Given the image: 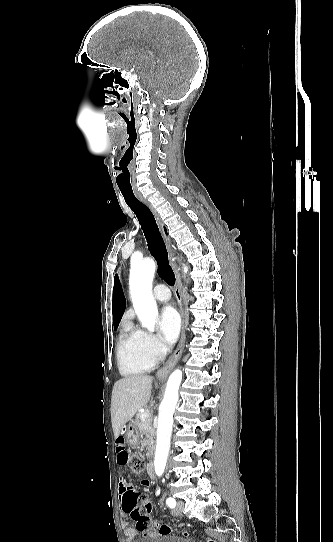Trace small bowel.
Masks as SVG:
<instances>
[{
  "instance_id": "1",
  "label": "small bowel",
  "mask_w": 333,
  "mask_h": 542,
  "mask_svg": "<svg viewBox=\"0 0 333 542\" xmlns=\"http://www.w3.org/2000/svg\"><path fill=\"white\" fill-rule=\"evenodd\" d=\"M127 457H128V453H127V450L125 448V436H124V434H121L118 437V440H117V461H118V465L120 467H123V466L126 465ZM150 484H151V482L148 479H145L142 482V485L144 487H149ZM161 491H162V489H161L160 486H157L155 488V494L156 495H160ZM130 492H131L130 485H129L127 479L124 476L121 475L119 477V479H118V496H119V500H120V513H121L122 516H125L127 513H129L127 508L123 507L122 501H123L124 497H129L130 496ZM140 497L142 499H146L147 498V493L146 492H141ZM122 527H123L124 534L126 536V542H136V538L138 536V531L135 528H133L129 524V522L126 521V520L122 521Z\"/></svg>"
}]
</instances>
